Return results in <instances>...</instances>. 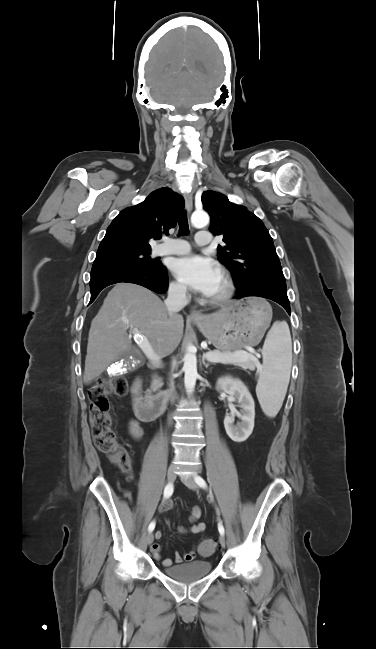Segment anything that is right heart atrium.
I'll return each instance as SVG.
<instances>
[{"mask_svg":"<svg viewBox=\"0 0 376 649\" xmlns=\"http://www.w3.org/2000/svg\"><path fill=\"white\" fill-rule=\"evenodd\" d=\"M169 293L177 300H184L187 298V289L179 282L174 281L169 284Z\"/></svg>","mask_w":376,"mask_h":649,"instance_id":"d8ad5b80","label":"right heart atrium"}]
</instances>
